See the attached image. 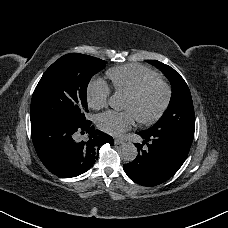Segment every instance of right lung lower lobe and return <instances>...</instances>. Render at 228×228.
<instances>
[{"instance_id":"1","label":"right lung lower lobe","mask_w":228,"mask_h":228,"mask_svg":"<svg viewBox=\"0 0 228 228\" xmlns=\"http://www.w3.org/2000/svg\"><path fill=\"white\" fill-rule=\"evenodd\" d=\"M31 132L35 150L44 166L62 178L86 172L95 163L100 146L114 144L111 136L95 130L89 120L80 125L54 119L36 120L31 122Z\"/></svg>"}]
</instances>
